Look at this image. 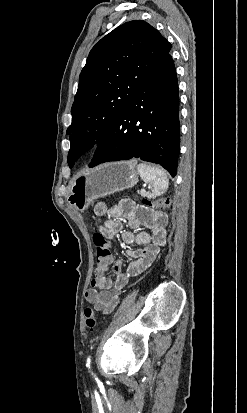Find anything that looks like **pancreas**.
Listing matches in <instances>:
<instances>
[{"instance_id":"pancreas-1","label":"pancreas","mask_w":247,"mask_h":413,"mask_svg":"<svg viewBox=\"0 0 247 413\" xmlns=\"http://www.w3.org/2000/svg\"><path fill=\"white\" fill-rule=\"evenodd\" d=\"M142 196H147V198H154V194L152 192H140Z\"/></svg>"}]
</instances>
